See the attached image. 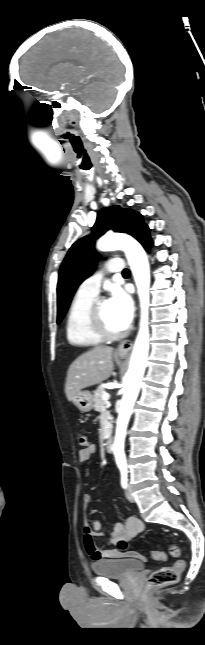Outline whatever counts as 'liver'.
<instances>
[{"instance_id": "1", "label": "liver", "mask_w": 205, "mask_h": 645, "mask_svg": "<svg viewBox=\"0 0 205 645\" xmlns=\"http://www.w3.org/2000/svg\"><path fill=\"white\" fill-rule=\"evenodd\" d=\"M112 356V347L96 346L70 365L65 384L69 401L82 389L99 384L111 376L114 368Z\"/></svg>"}]
</instances>
